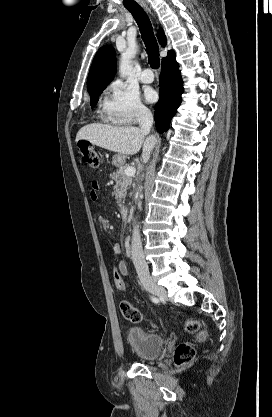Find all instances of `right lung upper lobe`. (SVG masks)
<instances>
[{"label": "right lung upper lobe", "mask_w": 272, "mask_h": 417, "mask_svg": "<svg viewBox=\"0 0 272 417\" xmlns=\"http://www.w3.org/2000/svg\"><path fill=\"white\" fill-rule=\"evenodd\" d=\"M157 37L159 38V43L164 46L166 40L161 29ZM115 72L116 57L114 48L112 46L105 45L98 50L93 59L87 79L88 92L103 88L105 89L106 86L112 81Z\"/></svg>", "instance_id": "right-lung-upper-lobe-1"}]
</instances>
